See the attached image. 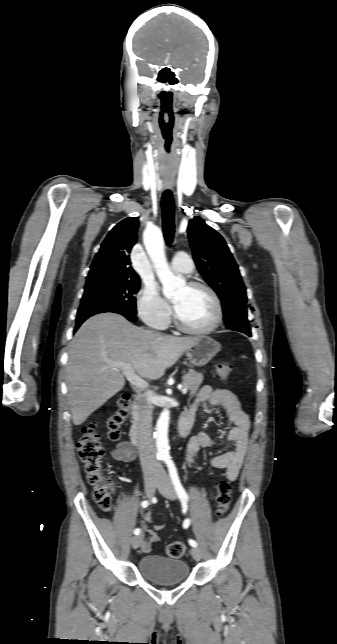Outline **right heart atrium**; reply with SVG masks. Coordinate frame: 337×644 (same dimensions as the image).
<instances>
[{
	"label": "right heart atrium",
	"instance_id": "right-heart-atrium-1",
	"mask_svg": "<svg viewBox=\"0 0 337 644\" xmlns=\"http://www.w3.org/2000/svg\"><path fill=\"white\" fill-rule=\"evenodd\" d=\"M138 313L151 327L163 328L169 321V309L154 284L145 285L138 297Z\"/></svg>",
	"mask_w": 337,
	"mask_h": 644
}]
</instances>
